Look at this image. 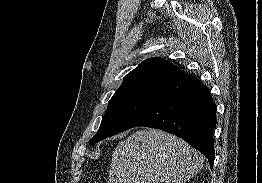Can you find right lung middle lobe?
Returning <instances> with one entry per match:
<instances>
[{
	"mask_svg": "<svg viewBox=\"0 0 262 183\" xmlns=\"http://www.w3.org/2000/svg\"><path fill=\"white\" fill-rule=\"evenodd\" d=\"M158 91L140 90L115 93L108 103L97 133L89 141L95 143L123 131L126 125L138 115Z\"/></svg>",
	"mask_w": 262,
	"mask_h": 183,
	"instance_id": "1",
	"label": "right lung middle lobe"
}]
</instances>
